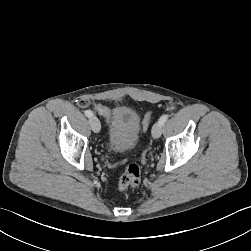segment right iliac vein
<instances>
[{"mask_svg":"<svg viewBox=\"0 0 251 251\" xmlns=\"http://www.w3.org/2000/svg\"><path fill=\"white\" fill-rule=\"evenodd\" d=\"M89 123H90L91 129H92L95 133H98V132L100 131V129H101V124H100V121L98 120L97 117H95V116L90 117Z\"/></svg>","mask_w":251,"mask_h":251,"instance_id":"1","label":"right iliac vein"}]
</instances>
